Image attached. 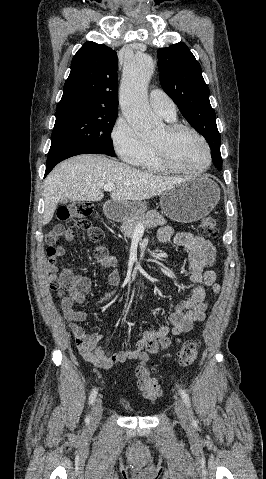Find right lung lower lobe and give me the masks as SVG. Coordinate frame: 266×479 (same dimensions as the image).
<instances>
[{
    "instance_id": "right-lung-lower-lobe-1",
    "label": "right lung lower lobe",
    "mask_w": 266,
    "mask_h": 479,
    "mask_svg": "<svg viewBox=\"0 0 266 479\" xmlns=\"http://www.w3.org/2000/svg\"><path fill=\"white\" fill-rule=\"evenodd\" d=\"M79 154H103L99 151L94 150H84L79 148H74L65 145H54L50 147L48 158H47V167L45 171V176L54 168L56 164L67 159L69 157L79 155ZM44 176V177H45Z\"/></svg>"
}]
</instances>
